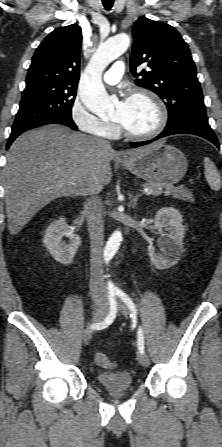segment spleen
I'll return each instance as SVG.
<instances>
[{
    "instance_id": "1",
    "label": "spleen",
    "mask_w": 222,
    "mask_h": 447,
    "mask_svg": "<svg viewBox=\"0 0 222 447\" xmlns=\"http://www.w3.org/2000/svg\"><path fill=\"white\" fill-rule=\"evenodd\" d=\"M205 177L211 189L218 191L221 188L220 174L214 163L208 158H204Z\"/></svg>"
}]
</instances>
